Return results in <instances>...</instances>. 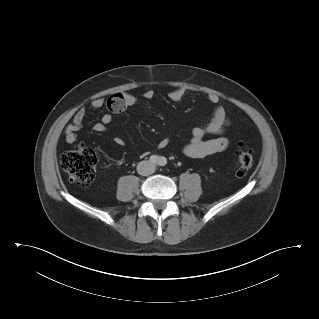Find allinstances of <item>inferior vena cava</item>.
I'll return each mask as SVG.
<instances>
[{
    "mask_svg": "<svg viewBox=\"0 0 319 319\" xmlns=\"http://www.w3.org/2000/svg\"><path fill=\"white\" fill-rule=\"evenodd\" d=\"M137 171L142 176H148L154 173L155 167L150 161H141L137 165Z\"/></svg>",
    "mask_w": 319,
    "mask_h": 319,
    "instance_id": "inferior-vena-cava-1",
    "label": "inferior vena cava"
}]
</instances>
